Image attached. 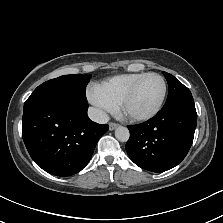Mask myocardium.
I'll list each match as a JSON object with an SVG mask.
<instances>
[{"instance_id": "myocardium-1", "label": "myocardium", "mask_w": 223, "mask_h": 223, "mask_svg": "<svg viewBox=\"0 0 223 223\" xmlns=\"http://www.w3.org/2000/svg\"><path fill=\"white\" fill-rule=\"evenodd\" d=\"M149 76H156V77H158L161 80V83H162V93H161V96H160L159 101H158L157 105L155 106V108L152 111H150L149 113L143 114V115H135V114H128V113L122 112L121 111L122 107L124 105H126L130 101V99L132 98V96L134 95V93L138 89L139 85L142 83V81L145 78L149 77ZM166 91H167L166 82H165L164 78L160 74L155 73V72H149V73L144 74L141 78H139L134 83V85L120 99V101L118 103L119 110L116 113V117L120 118V119H126V120H130V121H135V122H145V121H148V120L152 119L161 110V107L163 105L164 99L166 97Z\"/></svg>"}]
</instances>
